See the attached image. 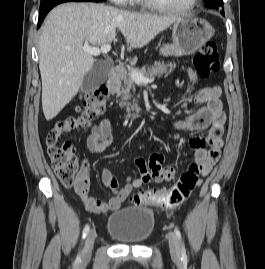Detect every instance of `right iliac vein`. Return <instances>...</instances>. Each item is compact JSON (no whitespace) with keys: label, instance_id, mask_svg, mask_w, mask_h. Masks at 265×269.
<instances>
[{"label":"right iliac vein","instance_id":"obj_1","mask_svg":"<svg viewBox=\"0 0 265 269\" xmlns=\"http://www.w3.org/2000/svg\"><path fill=\"white\" fill-rule=\"evenodd\" d=\"M95 237H96V232L95 230H91L86 237L85 240V245H84V249H83V254H82V258L84 261H87L90 259L91 254H92V249H93V245H94V241H95Z\"/></svg>","mask_w":265,"mask_h":269}]
</instances>
